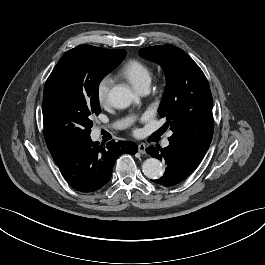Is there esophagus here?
<instances>
[{
  "mask_svg": "<svg viewBox=\"0 0 265 265\" xmlns=\"http://www.w3.org/2000/svg\"><path fill=\"white\" fill-rule=\"evenodd\" d=\"M146 148H147V146L144 143L138 144V152L139 153L145 154L146 153Z\"/></svg>",
  "mask_w": 265,
  "mask_h": 265,
  "instance_id": "1",
  "label": "esophagus"
}]
</instances>
